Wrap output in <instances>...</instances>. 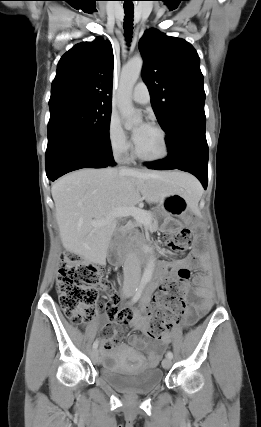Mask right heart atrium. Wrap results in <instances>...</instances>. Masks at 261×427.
<instances>
[{"mask_svg":"<svg viewBox=\"0 0 261 427\" xmlns=\"http://www.w3.org/2000/svg\"><path fill=\"white\" fill-rule=\"evenodd\" d=\"M107 139L111 151L120 157L128 155L131 145L119 119L112 115L107 126Z\"/></svg>","mask_w":261,"mask_h":427,"instance_id":"d8ad5b80","label":"right heart atrium"}]
</instances>
